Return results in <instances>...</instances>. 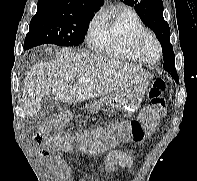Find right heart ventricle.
Wrapping results in <instances>:
<instances>
[{"label":"right heart ventricle","mask_w":197,"mask_h":181,"mask_svg":"<svg viewBox=\"0 0 197 181\" xmlns=\"http://www.w3.org/2000/svg\"><path fill=\"white\" fill-rule=\"evenodd\" d=\"M145 26L132 9L124 8L103 18L91 39L92 49L106 57L142 63L133 49V39Z\"/></svg>","instance_id":"1"}]
</instances>
